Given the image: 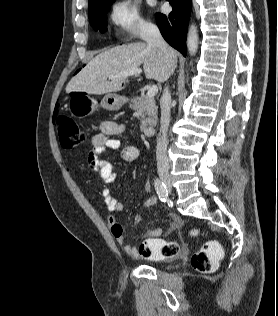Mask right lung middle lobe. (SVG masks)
Returning a JSON list of instances; mask_svg holds the SVG:
<instances>
[{
	"label": "right lung middle lobe",
	"instance_id": "dd1d6c3e",
	"mask_svg": "<svg viewBox=\"0 0 278 316\" xmlns=\"http://www.w3.org/2000/svg\"><path fill=\"white\" fill-rule=\"evenodd\" d=\"M114 0H105L89 10L90 24L95 31L104 32L107 28L106 13Z\"/></svg>",
	"mask_w": 278,
	"mask_h": 316
}]
</instances>
